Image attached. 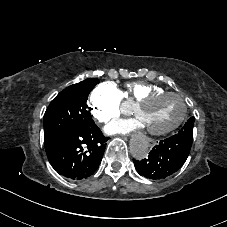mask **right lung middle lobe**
Returning <instances> with one entry per match:
<instances>
[{
    "instance_id": "obj_1",
    "label": "right lung middle lobe",
    "mask_w": 227,
    "mask_h": 227,
    "mask_svg": "<svg viewBox=\"0 0 227 227\" xmlns=\"http://www.w3.org/2000/svg\"><path fill=\"white\" fill-rule=\"evenodd\" d=\"M98 83V79L88 78L65 88L51 101L43 117L44 141L65 130L94 124L86 102Z\"/></svg>"
}]
</instances>
